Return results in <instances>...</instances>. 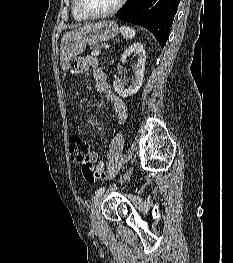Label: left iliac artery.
I'll return each mask as SVG.
<instances>
[{
  "instance_id": "44dca946",
  "label": "left iliac artery",
  "mask_w": 233,
  "mask_h": 263,
  "mask_svg": "<svg viewBox=\"0 0 233 263\" xmlns=\"http://www.w3.org/2000/svg\"><path fill=\"white\" fill-rule=\"evenodd\" d=\"M105 191V187H101L96 192V197L102 195V193Z\"/></svg>"
}]
</instances>
